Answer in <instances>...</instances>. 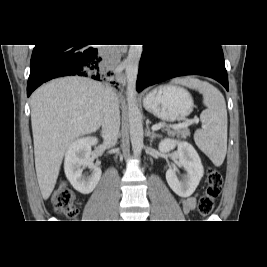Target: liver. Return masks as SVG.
<instances>
[{"label": "liver", "instance_id": "obj_1", "mask_svg": "<svg viewBox=\"0 0 267 267\" xmlns=\"http://www.w3.org/2000/svg\"><path fill=\"white\" fill-rule=\"evenodd\" d=\"M108 88L88 78L65 77L31 95L35 169L43 199L54 190L68 147L102 125Z\"/></svg>", "mask_w": 267, "mask_h": 267}]
</instances>
